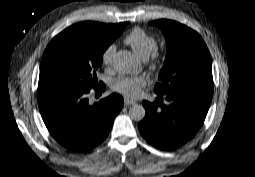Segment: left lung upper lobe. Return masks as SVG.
<instances>
[{
  "mask_svg": "<svg viewBox=\"0 0 255 177\" xmlns=\"http://www.w3.org/2000/svg\"><path fill=\"white\" fill-rule=\"evenodd\" d=\"M162 29L167 55L155 85L156 94L164 95L186 87H213L211 56L200 35L171 20L150 22Z\"/></svg>",
  "mask_w": 255,
  "mask_h": 177,
  "instance_id": "1",
  "label": "left lung upper lobe"
}]
</instances>
